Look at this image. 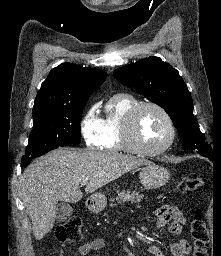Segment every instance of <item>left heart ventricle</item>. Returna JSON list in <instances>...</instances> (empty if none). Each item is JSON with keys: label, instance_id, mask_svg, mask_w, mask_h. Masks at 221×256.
Listing matches in <instances>:
<instances>
[{"label": "left heart ventricle", "instance_id": "1", "mask_svg": "<svg viewBox=\"0 0 221 256\" xmlns=\"http://www.w3.org/2000/svg\"><path fill=\"white\" fill-rule=\"evenodd\" d=\"M137 133L144 146L157 148L167 141L169 128L167 121L158 110L147 107L138 117Z\"/></svg>", "mask_w": 221, "mask_h": 256}]
</instances>
